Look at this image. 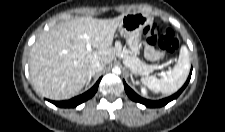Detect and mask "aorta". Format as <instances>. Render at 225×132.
<instances>
[{
  "label": "aorta",
  "mask_w": 225,
  "mask_h": 132,
  "mask_svg": "<svg viewBox=\"0 0 225 132\" xmlns=\"http://www.w3.org/2000/svg\"><path fill=\"white\" fill-rule=\"evenodd\" d=\"M113 72L115 74H120L121 73V70L119 68H115V69H113Z\"/></svg>",
  "instance_id": "obj_1"
}]
</instances>
